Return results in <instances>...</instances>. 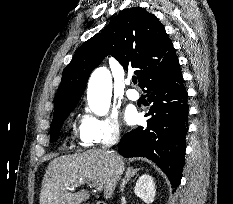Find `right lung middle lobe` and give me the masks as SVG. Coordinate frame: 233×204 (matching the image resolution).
<instances>
[{
	"label": "right lung middle lobe",
	"instance_id": "dd1d6c3e",
	"mask_svg": "<svg viewBox=\"0 0 233 204\" xmlns=\"http://www.w3.org/2000/svg\"><path fill=\"white\" fill-rule=\"evenodd\" d=\"M69 114H70V111L52 120V123L50 125V142H54L55 140H57L59 133H60L61 126Z\"/></svg>",
	"mask_w": 233,
	"mask_h": 204
}]
</instances>
